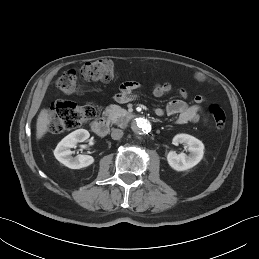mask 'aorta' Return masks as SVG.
Here are the masks:
<instances>
[{
	"label": "aorta",
	"mask_w": 259,
	"mask_h": 259,
	"mask_svg": "<svg viewBox=\"0 0 259 259\" xmlns=\"http://www.w3.org/2000/svg\"><path fill=\"white\" fill-rule=\"evenodd\" d=\"M133 131L139 135L148 134L151 131V124L145 118H137L132 125Z\"/></svg>",
	"instance_id": "762f6f07"
}]
</instances>
